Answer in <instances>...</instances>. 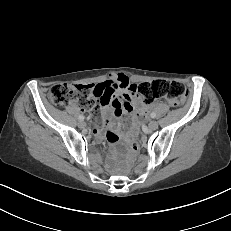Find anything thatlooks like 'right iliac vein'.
I'll return each instance as SVG.
<instances>
[{"mask_svg": "<svg viewBox=\"0 0 231 231\" xmlns=\"http://www.w3.org/2000/svg\"><path fill=\"white\" fill-rule=\"evenodd\" d=\"M78 127L81 128V129L85 128V127H86V122L80 121V122L78 123Z\"/></svg>", "mask_w": 231, "mask_h": 231, "instance_id": "right-iliac-vein-1", "label": "right iliac vein"}]
</instances>
